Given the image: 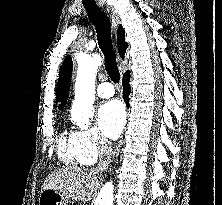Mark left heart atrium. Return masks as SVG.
Returning <instances> with one entry per match:
<instances>
[{
  "label": "left heart atrium",
  "mask_w": 222,
  "mask_h": 205,
  "mask_svg": "<svg viewBox=\"0 0 222 205\" xmlns=\"http://www.w3.org/2000/svg\"><path fill=\"white\" fill-rule=\"evenodd\" d=\"M126 115L122 103L112 100L101 105L98 111V124L102 133L110 138L116 139L124 125Z\"/></svg>",
  "instance_id": "obj_1"
}]
</instances>
